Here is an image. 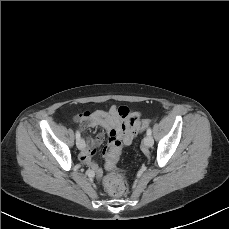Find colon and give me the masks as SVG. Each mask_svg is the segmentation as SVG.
Returning a JSON list of instances; mask_svg holds the SVG:
<instances>
[{
    "label": "colon",
    "mask_w": 229,
    "mask_h": 229,
    "mask_svg": "<svg viewBox=\"0 0 229 229\" xmlns=\"http://www.w3.org/2000/svg\"><path fill=\"white\" fill-rule=\"evenodd\" d=\"M150 124L149 120H139V117L137 115L133 116L129 126L128 130L135 134L138 130H144L146 129ZM117 138V134L115 131H111L109 133V141H113ZM121 155V152L118 151L114 155V159L116 161L119 160ZM104 185L107 193L114 197L119 198L124 196L128 191V184L125 179V177L121 174H111L108 175L104 180Z\"/></svg>",
    "instance_id": "obj_1"
}]
</instances>
